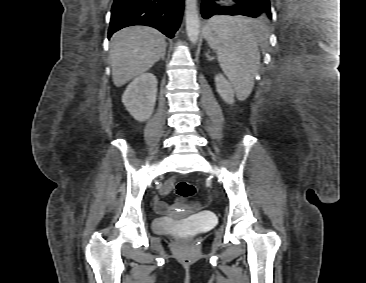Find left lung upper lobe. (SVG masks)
<instances>
[{
	"mask_svg": "<svg viewBox=\"0 0 366 283\" xmlns=\"http://www.w3.org/2000/svg\"><path fill=\"white\" fill-rule=\"evenodd\" d=\"M263 6V8L265 9V12L263 15L260 16V18L264 19V18H268L271 19V9H270V1L269 0H259Z\"/></svg>",
	"mask_w": 366,
	"mask_h": 283,
	"instance_id": "1",
	"label": "left lung upper lobe"
}]
</instances>
